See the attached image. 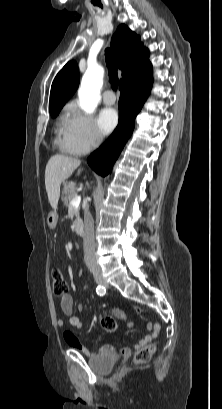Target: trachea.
I'll return each instance as SVG.
<instances>
[{"instance_id": "1", "label": "trachea", "mask_w": 222, "mask_h": 409, "mask_svg": "<svg viewBox=\"0 0 222 409\" xmlns=\"http://www.w3.org/2000/svg\"><path fill=\"white\" fill-rule=\"evenodd\" d=\"M105 57L111 86L114 90H117L118 88L117 64L114 54L109 48L105 50Z\"/></svg>"}]
</instances>
